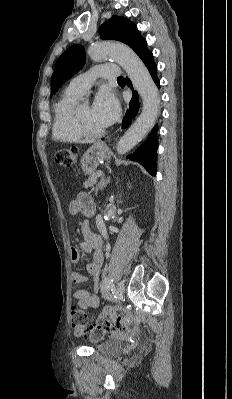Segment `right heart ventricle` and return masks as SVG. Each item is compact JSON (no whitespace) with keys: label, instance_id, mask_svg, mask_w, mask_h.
Instances as JSON below:
<instances>
[{"label":"right heart ventricle","instance_id":"e07e8e85","mask_svg":"<svg viewBox=\"0 0 232 399\" xmlns=\"http://www.w3.org/2000/svg\"><path fill=\"white\" fill-rule=\"evenodd\" d=\"M78 96L66 94L52 108L51 131L53 138L61 143L75 144L83 141L74 124L73 106Z\"/></svg>","mask_w":232,"mask_h":399}]
</instances>
